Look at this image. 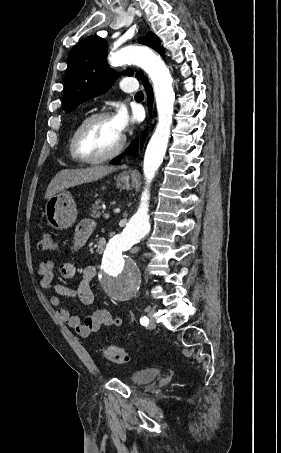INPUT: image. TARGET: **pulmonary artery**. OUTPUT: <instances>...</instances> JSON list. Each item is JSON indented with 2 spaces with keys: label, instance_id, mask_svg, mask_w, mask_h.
Returning a JSON list of instances; mask_svg holds the SVG:
<instances>
[{
  "label": "pulmonary artery",
  "instance_id": "obj_1",
  "mask_svg": "<svg viewBox=\"0 0 281 453\" xmlns=\"http://www.w3.org/2000/svg\"><path fill=\"white\" fill-rule=\"evenodd\" d=\"M131 79H133V78L127 77V78L122 79V80L120 81V88H121L122 90H124V91H130V89L124 84V82H125L126 80H131Z\"/></svg>",
  "mask_w": 281,
  "mask_h": 453
}]
</instances>
